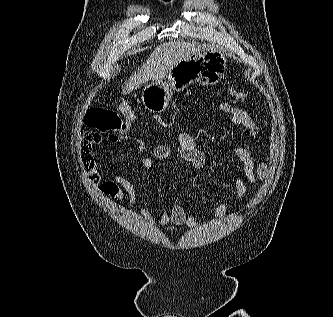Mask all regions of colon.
<instances>
[{
    "label": "colon",
    "instance_id": "5ec220e1",
    "mask_svg": "<svg viewBox=\"0 0 333 317\" xmlns=\"http://www.w3.org/2000/svg\"><path fill=\"white\" fill-rule=\"evenodd\" d=\"M229 94L237 99L246 98V93L230 88ZM136 121V113L128 102H122L116 109L95 107L88 111L86 124L101 133L126 134Z\"/></svg>",
    "mask_w": 333,
    "mask_h": 317
}]
</instances>
